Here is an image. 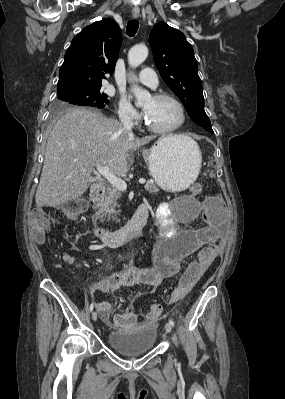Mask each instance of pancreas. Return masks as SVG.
<instances>
[{"label":"pancreas","mask_w":285,"mask_h":399,"mask_svg":"<svg viewBox=\"0 0 285 399\" xmlns=\"http://www.w3.org/2000/svg\"><path fill=\"white\" fill-rule=\"evenodd\" d=\"M146 191L153 194L159 191L152 180H149L145 185ZM121 198V191L114 186L108 187L106 193L100 204L99 215L103 219H110L112 214H118L116 208L119 206L118 202ZM116 219V217H114Z\"/></svg>","instance_id":"cf45deb5"}]
</instances>
